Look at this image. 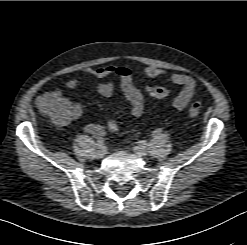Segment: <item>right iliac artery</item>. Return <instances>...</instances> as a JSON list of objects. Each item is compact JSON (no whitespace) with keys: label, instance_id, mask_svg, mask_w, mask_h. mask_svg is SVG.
Instances as JSON below:
<instances>
[{"label":"right iliac artery","instance_id":"1","mask_svg":"<svg viewBox=\"0 0 247 245\" xmlns=\"http://www.w3.org/2000/svg\"><path fill=\"white\" fill-rule=\"evenodd\" d=\"M96 145H97L98 148L104 147V140H103V138L99 137L98 140H97V142H96Z\"/></svg>","mask_w":247,"mask_h":245}]
</instances>
